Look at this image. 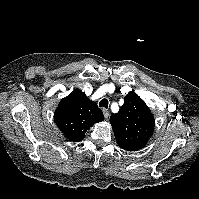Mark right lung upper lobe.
<instances>
[{
	"label": "right lung upper lobe",
	"instance_id": "obj_1",
	"mask_svg": "<svg viewBox=\"0 0 199 199\" xmlns=\"http://www.w3.org/2000/svg\"><path fill=\"white\" fill-rule=\"evenodd\" d=\"M104 120L102 111L82 91H72L63 98L55 113L54 121L67 139L82 141L92 125Z\"/></svg>",
	"mask_w": 199,
	"mask_h": 199
}]
</instances>
